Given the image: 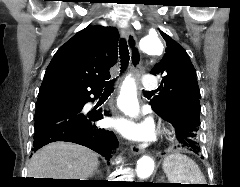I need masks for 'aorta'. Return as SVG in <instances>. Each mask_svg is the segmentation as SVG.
Wrapping results in <instances>:
<instances>
[{
    "label": "aorta",
    "instance_id": "1",
    "mask_svg": "<svg viewBox=\"0 0 240 187\" xmlns=\"http://www.w3.org/2000/svg\"><path fill=\"white\" fill-rule=\"evenodd\" d=\"M140 50L142 53L159 56L163 52V43L158 35L148 34L140 39ZM119 108L127 115L134 117L138 115L139 104L137 100V88L133 78L127 76L123 81L118 98ZM154 161L148 156H143L137 161L136 172L140 179H146L154 171Z\"/></svg>",
    "mask_w": 240,
    "mask_h": 187
}]
</instances>
